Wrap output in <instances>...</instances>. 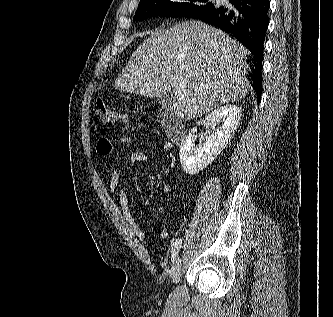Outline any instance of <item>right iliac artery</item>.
<instances>
[{
  "label": "right iliac artery",
  "mask_w": 333,
  "mask_h": 317,
  "mask_svg": "<svg viewBox=\"0 0 333 317\" xmlns=\"http://www.w3.org/2000/svg\"><path fill=\"white\" fill-rule=\"evenodd\" d=\"M181 244H182V239L178 238V239H176V241L172 245V257H171V259H172L173 263L175 262L176 257H177V255L179 253Z\"/></svg>",
  "instance_id": "right-iliac-artery-1"
}]
</instances>
